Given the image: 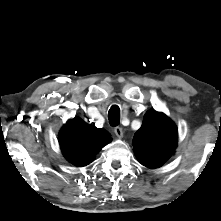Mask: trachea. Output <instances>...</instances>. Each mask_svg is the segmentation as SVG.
Segmentation results:
<instances>
[{
    "label": "trachea",
    "mask_w": 221,
    "mask_h": 221,
    "mask_svg": "<svg viewBox=\"0 0 221 221\" xmlns=\"http://www.w3.org/2000/svg\"><path fill=\"white\" fill-rule=\"evenodd\" d=\"M109 123L117 126L120 123V109L117 105H113L108 112Z\"/></svg>",
    "instance_id": "obj_1"
}]
</instances>
